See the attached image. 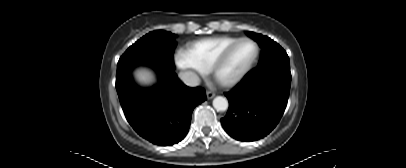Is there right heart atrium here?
<instances>
[{
  "mask_svg": "<svg viewBox=\"0 0 406 168\" xmlns=\"http://www.w3.org/2000/svg\"><path fill=\"white\" fill-rule=\"evenodd\" d=\"M174 61L176 66L192 80H196L199 76L205 74L204 71L193 64L185 51H178L174 56Z\"/></svg>",
  "mask_w": 406,
  "mask_h": 168,
  "instance_id": "right-heart-atrium-1",
  "label": "right heart atrium"
}]
</instances>
